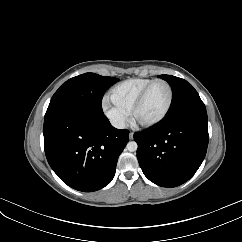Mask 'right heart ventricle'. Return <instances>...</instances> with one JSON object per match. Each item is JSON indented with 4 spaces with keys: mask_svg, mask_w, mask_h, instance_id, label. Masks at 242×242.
Masks as SVG:
<instances>
[{
    "mask_svg": "<svg viewBox=\"0 0 242 242\" xmlns=\"http://www.w3.org/2000/svg\"><path fill=\"white\" fill-rule=\"evenodd\" d=\"M153 80L150 78L127 79L110 91V99L115 105L130 113L135 100Z\"/></svg>",
    "mask_w": 242,
    "mask_h": 242,
    "instance_id": "obj_1",
    "label": "right heart ventricle"
}]
</instances>
